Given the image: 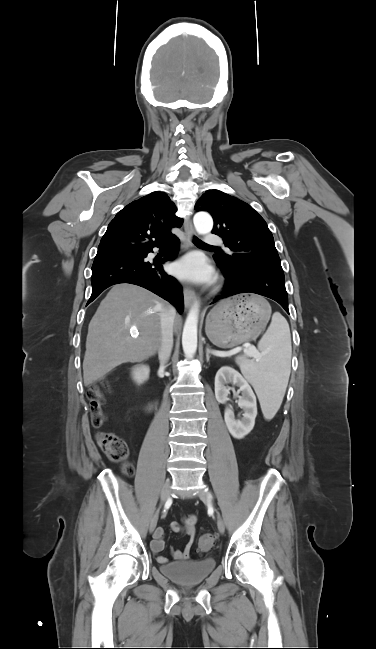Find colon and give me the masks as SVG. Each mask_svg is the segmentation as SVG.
<instances>
[{
	"instance_id": "colon-1",
	"label": "colon",
	"mask_w": 376,
	"mask_h": 649,
	"mask_svg": "<svg viewBox=\"0 0 376 649\" xmlns=\"http://www.w3.org/2000/svg\"><path fill=\"white\" fill-rule=\"evenodd\" d=\"M103 387L104 383L92 386L87 391V399L91 406L92 424L96 428L101 427L105 422V415L102 410ZM96 442L111 461L121 463L125 475L131 476L133 474L134 468L127 462L129 449L122 438L114 433L99 431L96 434ZM214 542L215 539L212 535L204 534L199 538L198 550L206 552L212 548Z\"/></svg>"
}]
</instances>
